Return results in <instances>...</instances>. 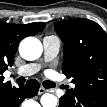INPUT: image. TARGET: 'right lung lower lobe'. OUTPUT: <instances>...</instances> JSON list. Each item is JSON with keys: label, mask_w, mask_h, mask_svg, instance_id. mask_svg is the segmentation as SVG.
<instances>
[{"label": "right lung lower lobe", "mask_w": 107, "mask_h": 107, "mask_svg": "<svg viewBox=\"0 0 107 107\" xmlns=\"http://www.w3.org/2000/svg\"><path fill=\"white\" fill-rule=\"evenodd\" d=\"M39 83L37 80H29L26 85L16 88L11 82L0 85V107H19L21 102L38 93Z\"/></svg>", "instance_id": "right-lung-lower-lobe-1"}]
</instances>
